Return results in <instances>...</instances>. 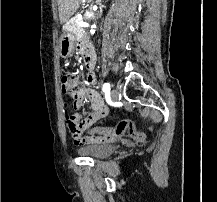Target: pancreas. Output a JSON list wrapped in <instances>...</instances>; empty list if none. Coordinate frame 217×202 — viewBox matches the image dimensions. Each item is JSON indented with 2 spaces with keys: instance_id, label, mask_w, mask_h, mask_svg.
Listing matches in <instances>:
<instances>
[{
  "instance_id": "1",
  "label": "pancreas",
  "mask_w": 217,
  "mask_h": 202,
  "mask_svg": "<svg viewBox=\"0 0 217 202\" xmlns=\"http://www.w3.org/2000/svg\"><path fill=\"white\" fill-rule=\"evenodd\" d=\"M75 22H78V18L76 16L73 17V22L66 24V30H69L71 34H75L76 38H78V40H81L83 34H85V30L82 28V26H77Z\"/></svg>"
}]
</instances>
